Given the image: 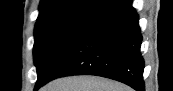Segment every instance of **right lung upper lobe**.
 <instances>
[{"label": "right lung upper lobe", "instance_id": "right-lung-upper-lobe-1", "mask_svg": "<svg viewBox=\"0 0 173 91\" xmlns=\"http://www.w3.org/2000/svg\"><path fill=\"white\" fill-rule=\"evenodd\" d=\"M118 0H41L36 25L69 20H88L98 11Z\"/></svg>", "mask_w": 173, "mask_h": 91}]
</instances>
